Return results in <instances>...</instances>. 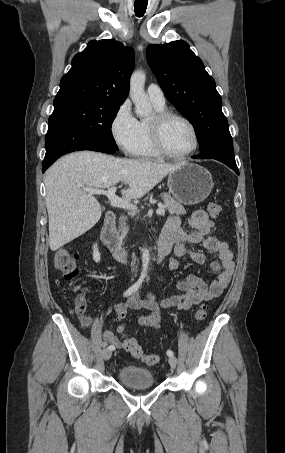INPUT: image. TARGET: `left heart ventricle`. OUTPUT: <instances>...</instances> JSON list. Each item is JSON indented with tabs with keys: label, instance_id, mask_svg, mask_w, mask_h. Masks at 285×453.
Returning <instances> with one entry per match:
<instances>
[{
	"label": "left heart ventricle",
	"instance_id": "1",
	"mask_svg": "<svg viewBox=\"0 0 285 453\" xmlns=\"http://www.w3.org/2000/svg\"><path fill=\"white\" fill-rule=\"evenodd\" d=\"M164 143L169 151L182 154L193 146V135L186 123L178 119H171L164 127Z\"/></svg>",
	"mask_w": 285,
	"mask_h": 453
}]
</instances>
